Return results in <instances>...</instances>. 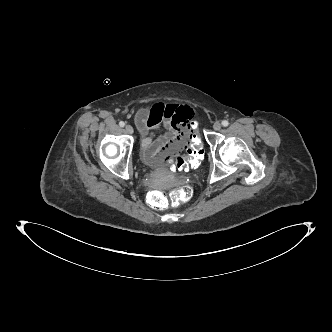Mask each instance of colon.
I'll return each mask as SVG.
<instances>
[{"mask_svg":"<svg viewBox=\"0 0 332 332\" xmlns=\"http://www.w3.org/2000/svg\"><path fill=\"white\" fill-rule=\"evenodd\" d=\"M189 132L192 137L189 138V144L184 151L177 158H173L169 162V167L173 171L186 170L197 167L204 155L201 147L202 124L198 120H193L189 124ZM193 195V188L190 185H185L177 190H174L169 197L165 192L154 191L149 194V204L154 208H165L169 203L179 204L188 201Z\"/></svg>","mask_w":332,"mask_h":332,"instance_id":"1","label":"colon"}]
</instances>
